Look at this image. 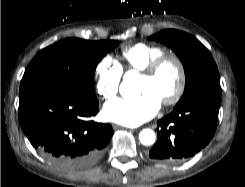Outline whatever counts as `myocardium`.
Wrapping results in <instances>:
<instances>
[{"label":"myocardium","instance_id":"obj_1","mask_svg":"<svg viewBox=\"0 0 245 187\" xmlns=\"http://www.w3.org/2000/svg\"><path fill=\"white\" fill-rule=\"evenodd\" d=\"M166 62H173L176 65L179 74V80L175 91L168 99L161 102L162 105L168 107L175 105L182 98L186 89L187 74L183 61L176 54L164 53L150 61L141 71V74L143 77L151 78Z\"/></svg>","mask_w":245,"mask_h":187}]
</instances>
